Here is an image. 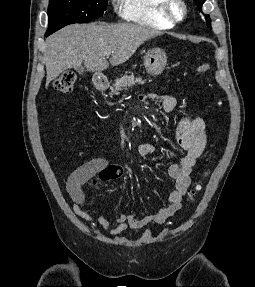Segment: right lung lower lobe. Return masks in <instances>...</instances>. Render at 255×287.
I'll list each match as a JSON object with an SVG mask.
<instances>
[{
  "label": "right lung lower lobe",
  "mask_w": 255,
  "mask_h": 287,
  "mask_svg": "<svg viewBox=\"0 0 255 287\" xmlns=\"http://www.w3.org/2000/svg\"><path fill=\"white\" fill-rule=\"evenodd\" d=\"M49 35H50V34H47V33L45 34V36H49Z\"/></svg>",
  "instance_id": "98d812e1"
}]
</instances>
